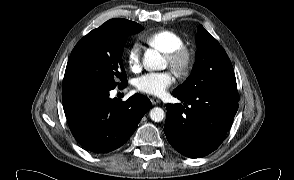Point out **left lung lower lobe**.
Segmentation results:
<instances>
[{"mask_svg": "<svg viewBox=\"0 0 294 180\" xmlns=\"http://www.w3.org/2000/svg\"><path fill=\"white\" fill-rule=\"evenodd\" d=\"M173 96L184 104L166 105L164 133L171 146L190 158H201L217 149L238 110V93L173 91Z\"/></svg>", "mask_w": 294, "mask_h": 180, "instance_id": "left-lung-lower-lobe-1", "label": "left lung lower lobe"}]
</instances>
